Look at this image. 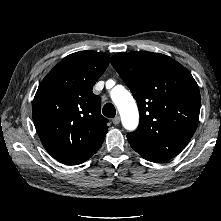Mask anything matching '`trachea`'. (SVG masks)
Segmentation results:
<instances>
[{
    "mask_svg": "<svg viewBox=\"0 0 221 221\" xmlns=\"http://www.w3.org/2000/svg\"><path fill=\"white\" fill-rule=\"evenodd\" d=\"M103 115L108 118H113L116 115V109L112 103H107L104 105Z\"/></svg>",
    "mask_w": 221,
    "mask_h": 221,
    "instance_id": "trachea-1",
    "label": "trachea"
}]
</instances>
